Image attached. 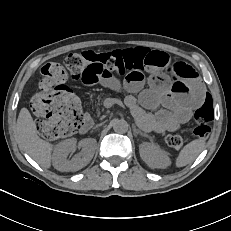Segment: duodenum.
<instances>
[{
  "instance_id": "1",
  "label": "duodenum",
  "mask_w": 231,
  "mask_h": 231,
  "mask_svg": "<svg viewBox=\"0 0 231 231\" xmlns=\"http://www.w3.org/2000/svg\"><path fill=\"white\" fill-rule=\"evenodd\" d=\"M93 126V120L90 116L86 115L83 119L82 125H81V132L86 133L88 132Z\"/></svg>"
}]
</instances>
